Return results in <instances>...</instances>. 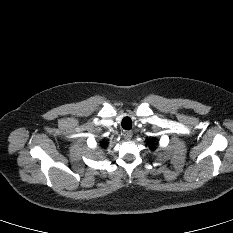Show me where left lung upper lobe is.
Listing matches in <instances>:
<instances>
[{
    "mask_svg": "<svg viewBox=\"0 0 233 233\" xmlns=\"http://www.w3.org/2000/svg\"><path fill=\"white\" fill-rule=\"evenodd\" d=\"M152 142H153L152 139H148V140H147V143H148L149 145L152 144Z\"/></svg>",
    "mask_w": 233,
    "mask_h": 233,
    "instance_id": "5c2ea615",
    "label": "left lung upper lobe"
}]
</instances>
